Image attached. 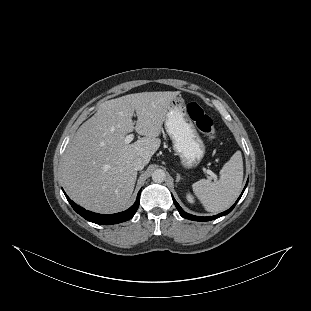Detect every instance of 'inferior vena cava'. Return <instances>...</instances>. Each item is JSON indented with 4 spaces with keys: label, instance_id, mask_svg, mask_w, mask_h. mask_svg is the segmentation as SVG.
<instances>
[{
    "label": "inferior vena cava",
    "instance_id": "602c4592",
    "mask_svg": "<svg viewBox=\"0 0 311 311\" xmlns=\"http://www.w3.org/2000/svg\"><path fill=\"white\" fill-rule=\"evenodd\" d=\"M133 167L135 170H142L144 167H145V163H144V160L141 159V158H136L134 161H133Z\"/></svg>",
    "mask_w": 311,
    "mask_h": 311
}]
</instances>
